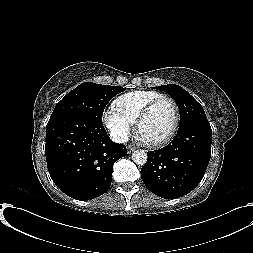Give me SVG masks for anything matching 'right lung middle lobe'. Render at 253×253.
Returning a JSON list of instances; mask_svg holds the SVG:
<instances>
[{
    "label": "right lung middle lobe",
    "instance_id": "obj_1",
    "mask_svg": "<svg viewBox=\"0 0 253 253\" xmlns=\"http://www.w3.org/2000/svg\"><path fill=\"white\" fill-rule=\"evenodd\" d=\"M125 89L119 86L100 85L84 82L60 100L51 117L63 114H80L102 122L107 103Z\"/></svg>",
    "mask_w": 253,
    "mask_h": 253
}]
</instances>
